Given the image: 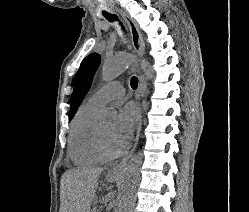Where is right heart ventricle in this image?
Here are the masks:
<instances>
[{
	"label": "right heart ventricle",
	"mask_w": 249,
	"mask_h": 212,
	"mask_svg": "<svg viewBox=\"0 0 249 212\" xmlns=\"http://www.w3.org/2000/svg\"><path fill=\"white\" fill-rule=\"evenodd\" d=\"M99 108L88 100L80 105L72 119L68 153L77 166H93L103 162L94 140L96 114Z\"/></svg>",
	"instance_id": "e07e8e85"
}]
</instances>
